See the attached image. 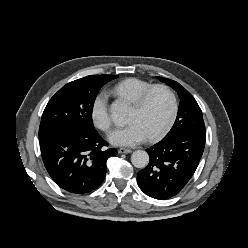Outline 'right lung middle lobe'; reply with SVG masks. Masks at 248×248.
I'll return each instance as SVG.
<instances>
[{"label": "right lung middle lobe", "mask_w": 248, "mask_h": 248, "mask_svg": "<svg viewBox=\"0 0 248 248\" xmlns=\"http://www.w3.org/2000/svg\"><path fill=\"white\" fill-rule=\"evenodd\" d=\"M111 80L100 75H91L62 87L44 109L39 141L64 128L96 131L92 122L93 104L101 87Z\"/></svg>", "instance_id": "1"}]
</instances>
